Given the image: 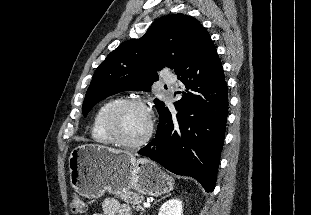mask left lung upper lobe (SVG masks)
I'll return each mask as SVG.
<instances>
[{"label":"left lung upper lobe","mask_w":311,"mask_h":215,"mask_svg":"<svg viewBox=\"0 0 311 215\" xmlns=\"http://www.w3.org/2000/svg\"><path fill=\"white\" fill-rule=\"evenodd\" d=\"M209 35L195 18L172 14L155 21L146 34L120 44L96 69L83 103V115L92 107L124 90L150 92L158 80L157 71L165 66L176 70ZM160 109L164 103L154 100Z\"/></svg>","instance_id":"left-lung-upper-lobe-1"}]
</instances>
